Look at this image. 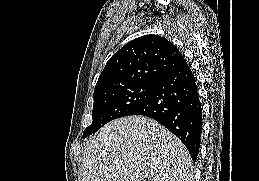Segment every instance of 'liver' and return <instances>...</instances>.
<instances>
[{
  "mask_svg": "<svg viewBox=\"0 0 259 181\" xmlns=\"http://www.w3.org/2000/svg\"><path fill=\"white\" fill-rule=\"evenodd\" d=\"M82 181H192L193 166L184 144L155 120L116 119L88 141Z\"/></svg>",
  "mask_w": 259,
  "mask_h": 181,
  "instance_id": "1",
  "label": "liver"
}]
</instances>
